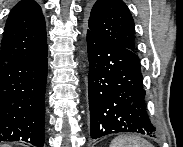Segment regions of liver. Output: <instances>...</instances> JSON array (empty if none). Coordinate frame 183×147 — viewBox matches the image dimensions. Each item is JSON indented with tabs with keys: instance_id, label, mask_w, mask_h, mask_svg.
Listing matches in <instances>:
<instances>
[{
	"instance_id": "6515ba94",
	"label": "liver",
	"mask_w": 183,
	"mask_h": 147,
	"mask_svg": "<svg viewBox=\"0 0 183 147\" xmlns=\"http://www.w3.org/2000/svg\"><path fill=\"white\" fill-rule=\"evenodd\" d=\"M2 147H10L9 145H3Z\"/></svg>"
}]
</instances>
